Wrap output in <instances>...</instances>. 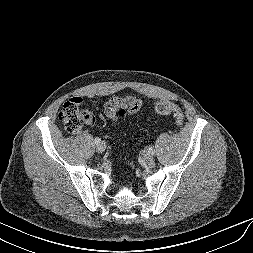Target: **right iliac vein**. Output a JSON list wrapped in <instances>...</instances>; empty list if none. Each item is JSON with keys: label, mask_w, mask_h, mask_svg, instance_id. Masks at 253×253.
<instances>
[{"label": "right iliac vein", "mask_w": 253, "mask_h": 253, "mask_svg": "<svg viewBox=\"0 0 253 253\" xmlns=\"http://www.w3.org/2000/svg\"><path fill=\"white\" fill-rule=\"evenodd\" d=\"M105 149H106V145H105V143H103V142L97 144V146H96V150H97L99 153L104 152Z\"/></svg>", "instance_id": "1"}]
</instances>
